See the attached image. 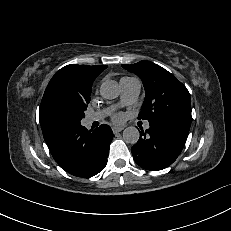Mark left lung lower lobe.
<instances>
[{
  "label": "left lung lower lobe",
  "mask_w": 231,
  "mask_h": 231,
  "mask_svg": "<svg viewBox=\"0 0 231 231\" xmlns=\"http://www.w3.org/2000/svg\"><path fill=\"white\" fill-rule=\"evenodd\" d=\"M150 128L140 132L131 148L135 162L142 168L157 171L171 165L181 153L191 123L173 118H154Z\"/></svg>",
  "instance_id": "0a47b994"
}]
</instances>
